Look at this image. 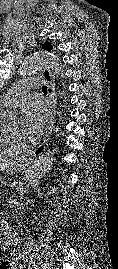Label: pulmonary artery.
<instances>
[{
    "label": "pulmonary artery",
    "mask_w": 118,
    "mask_h": 269,
    "mask_svg": "<svg viewBox=\"0 0 118 269\" xmlns=\"http://www.w3.org/2000/svg\"><path fill=\"white\" fill-rule=\"evenodd\" d=\"M42 82L43 80L34 77L24 78L15 83L12 88L7 91L0 100V103L5 107L18 106L29 98L30 89Z\"/></svg>",
    "instance_id": "e3ab8cb5"
}]
</instances>
